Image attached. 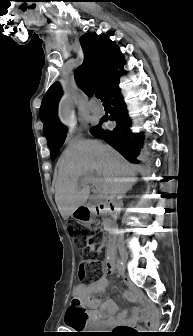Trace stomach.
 <instances>
[{"instance_id":"1","label":"stomach","mask_w":193,"mask_h":336,"mask_svg":"<svg viewBox=\"0 0 193 336\" xmlns=\"http://www.w3.org/2000/svg\"><path fill=\"white\" fill-rule=\"evenodd\" d=\"M78 222L88 224L94 219V212L89 206H80L71 215Z\"/></svg>"}]
</instances>
